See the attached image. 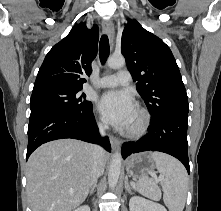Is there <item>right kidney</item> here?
<instances>
[{
	"label": "right kidney",
	"instance_id": "right-kidney-1",
	"mask_svg": "<svg viewBox=\"0 0 221 211\" xmlns=\"http://www.w3.org/2000/svg\"><path fill=\"white\" fill-rule=\"evenodd\" d=\"M74 211H90V208H89V206L85 205V206H81V207L77 208Z\"/></svg>",
	"mask_w": 221,
	"mask_h": 211
}]
</instances>
